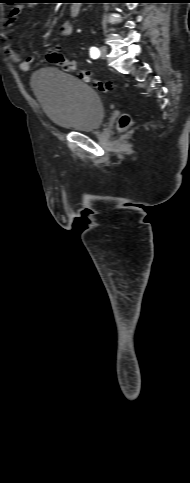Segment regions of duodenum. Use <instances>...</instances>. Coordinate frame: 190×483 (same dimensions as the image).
Here are the masks:
<instances>
[{
	"mask_svg": "<svg viewBox=\"0 0 190 483\" xmlns=\"http://www.w3.org/2000/svg\"><path fill=\"white\" fill-rule=\"evenodd\" d=\"M79 9H80V7H79V5L77 4V2H74V3H73V4H71V6H70V15H71L72 17H76V16L78 15V13H79Z\"/></svg>",
	"mask_w": 190,
	"mask_h": 483,
	"instance_id": "duodenum-1",
	"label": "duodenum"
}]
</instances>
